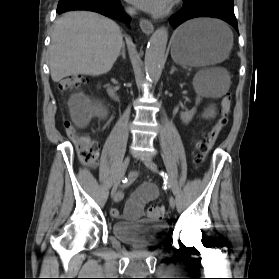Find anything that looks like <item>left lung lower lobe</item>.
<instances>
[{"label": "left lung lower lobe", "mask_w": 279, "mask_h": 279, "mask_svg": "<svg viewBox=\"0 0 279 279\" xmlns=\"http://www.w3.org/2000/svg\"><path fill=\"white\" fill-rule=\"evenodd\" d=\"M183 2L182 9L170 18L173 28L192 18L213 17L226 21L238 32L233 0H183Z\"/></svg>", "instance_id": "left-lung-lower-lobe-1"}]
</instances>
